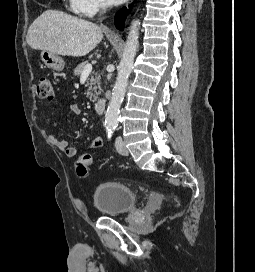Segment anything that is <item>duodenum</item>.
Segmentation results:
<instances>
[{
	"label": "duodenum",
	"mask_w": 255,
	"mask_h": 272,
	"mask_svg": "<svg viewBox=\"0 0 255 272\" xmlns=\"http://www.w3.org/2000/svg\"><path fill=\"white\" fill-rule=\"evenodd\" d=\"M106 107V100L105 99H98L95 103H94V110L96 113L98 114H102L105 110Z\"/></svg>",
	"instance_id": "duodenum-1"
}]
</instances>
